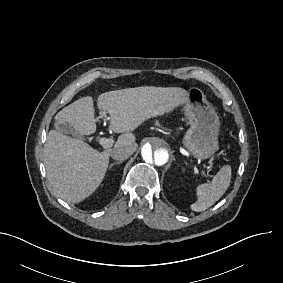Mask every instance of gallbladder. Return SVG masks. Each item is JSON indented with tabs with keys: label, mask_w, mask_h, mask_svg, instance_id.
Masks as SVG:
<instances>
[{
	"label": "gallbladder",
	"mask_w": 283,
	"mask_h": 283,
	"mask_svg": "<svg viewBox=\"0 0 283 283\" xmlns=\"http://www.w3.org/2000/svg\"><path fill=\"white\" fill-rule=\"evenodd\" d=\"M57 128L65 133V134H69L72 135L76 138L82 139V136L80 134H78L69 124L67 123H62V124H57Z\"/></svg>",
	"instance_id": "obj_1"
}]
</instances>
